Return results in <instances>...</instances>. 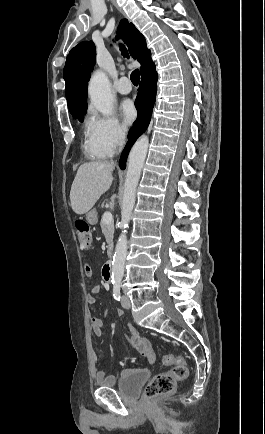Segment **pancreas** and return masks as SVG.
I'll list each match as a JSON object with an SVG mask.
<instances>
[{
	"label": "pancreas",
	"mask_w": 265,
	"mask_h": 434,
	"mask_svg": "<svg viewBox=\"0 0 265 434\" xmlns=\"http://www.w3.org/2000/svg\"><path fill=\"white\" fill-rule=\"evenodd\" d=\"M102 234H104L106 238V242L108 244V256H110L113 248V234H114V226L113 224H105V222H100Z\"/></svg>",
	"instance_id": "cf45deb5"
}]
</instances>
